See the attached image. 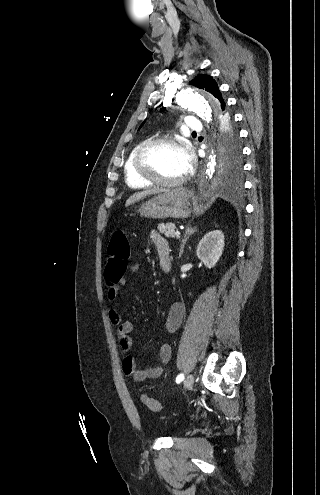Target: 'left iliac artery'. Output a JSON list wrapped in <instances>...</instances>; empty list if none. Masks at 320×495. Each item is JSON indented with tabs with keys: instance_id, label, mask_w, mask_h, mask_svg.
<instances>
[{
	"instance_id": "left-iliac-artery-1",
	"label": "left iliac artery",
	"mask_w": 320,
	"mask_h": 495,
	"mask_svg": "<svg viewBox=\"0 0 320 495\" xmlns=\"http://www.w3.org/2000/svg\"><path fill=\"white\" fill-rule=\"evenodd\" d=\"M184 376L183 374H179L176 378V383H180L183 380Z\"/></svg>"
}]
</instances>
